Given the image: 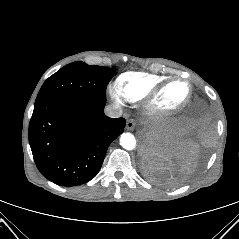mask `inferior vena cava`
Listing matches in <instances>:
<instances>
[{
	"label": "inferior vena cava",
	"mask_w": 239,
	"mask_h": 239,
	"mask_svg": "<svg viewBox=\"0 0 239 239\" xmlns=\"http://www.w3.org/2000/svg\"><path fill=\"white\" fill-rule=\"evenodd\" d=\"M105 114L111 118H118L122 116L123 110L120 106L112 104L105 107Z\"/></svg>",
	"instance_id": "1"
}]
</instances>
